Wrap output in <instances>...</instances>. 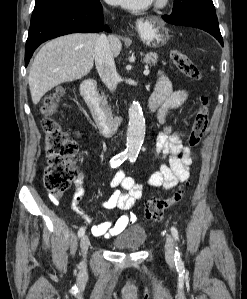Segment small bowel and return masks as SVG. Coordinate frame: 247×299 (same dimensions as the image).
Listing matches in <instances>:
<instances>
[{"label":"small bowel","mask_w":247,"mask_h":299,"mask_svg":"<svg viewBox=\"0 0 247 299\" xmlns=\"http://www.w3.org/2000/svg\"><path fill=\"white\" fill-rule=\"evenodd\" d=\"M188 96V90L173 91L169 78L160 72L149 103L154 106L159 121L164 123L168 115L180 107ZM156 150L168 159V163H163L150 176L148 184L152 187L170 190L178 184L186 182L189 178L192 157L190 149L183 144L180 135L173 132L170 127H166L157 135ZM75 185L76 190L71 203L72 209L87 222L92 223V217L80 206L85 193L81 177L76 180ZM108 185L114 191L110 197L100 203V208L105 210L115 208L124 211L131 210L143 196V185L137 182L134 177L127 175L123 169H118L114 173ZM52 200L54 203H58L55 197H52ZM133 221L132 215L124 214L115 221H104L93 225L91 231L94 236L109 238L120 234Z\"/></svg>","instance_id":"1"}]
</instances>
